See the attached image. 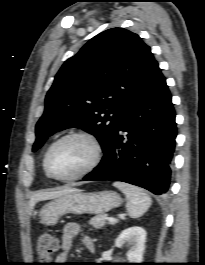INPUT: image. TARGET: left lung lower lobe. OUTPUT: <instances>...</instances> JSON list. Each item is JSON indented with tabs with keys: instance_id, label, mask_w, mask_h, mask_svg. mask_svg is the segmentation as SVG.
<instances>
[{
	"instance_id": "left-lung-lower-lobe-1",
	"label": "left lung lower lobe",
	"mask_w": 205,
	"mask_h": 265,
	"mask_svg": "<svg viewBox=\"0 0 205 265\" xmlns=\"http://www.w3.org/2000/svg\"><path fill=\"white\" fill-rule=\"evenodd\" d=\"M176 135L171 94L157 63L122 110L102 161L83 180L123 181L166 194Z\"/></svg>"
}]
</instances>
